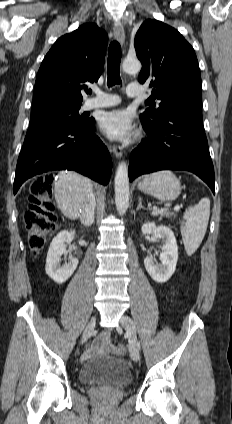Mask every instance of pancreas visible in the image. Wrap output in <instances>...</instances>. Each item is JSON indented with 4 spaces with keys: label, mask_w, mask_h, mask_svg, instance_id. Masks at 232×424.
<instances>
[{
    "label": "pancreas",
    "mask_w": 232,
    "mask_h": 424,
    "mask_svg": "<svg viewBox=\"0 0 232 424\" xmlns=\"http://www.w3.org/2000/svg\"><path fill=\"white\" fill-rule=\"evenodd\" d=\"M171 215H172L171 213H164V214L161 215V217L162 216L170 217Z\"/></svg>",
    "instance_id": "pancreas-1"
}]
</instances>
